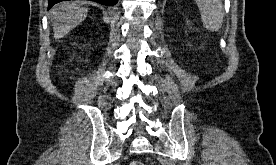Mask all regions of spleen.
<instances>
[{
	"mask_svg": "<svg viewBox=\"0 0 276 165\" xmlns=\"http://www.w3.org/2000/svg\"><path fill=\"white\" fill-rule=\"evenodd\" d=\"M201 13L203 26L209 31H218L223 23L224 10L221 0H195Z\"/></svg>",
	"mask_w": 276,
	"mask_h": 165,
	"instance_id": "1",
	"label": "spleen"
}]
</instances>
